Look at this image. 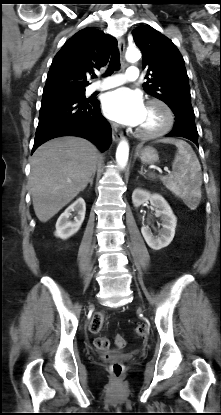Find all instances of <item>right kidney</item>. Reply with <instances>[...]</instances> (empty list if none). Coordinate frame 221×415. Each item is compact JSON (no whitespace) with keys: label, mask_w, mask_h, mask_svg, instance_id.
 Instances as JSON below:
<instances>
[{"label":"right kidney","mask_w":221,"mask_h":415,"mask_svg":"<svg viewBox=\"0 0 221 415\" xmlns=\"http://www.w3.org/2000/svg\"><path fill=\"white\" fill-rule=\"evenodd\" d=\"M86 204L82 198L71 204L58 218L56 223L55 236L67 239L74 235L81 227L85 218ZM72 213H75L74 220H70Z\"/></svg>","instance_id":"ca27d5eb"}]
</instances>
